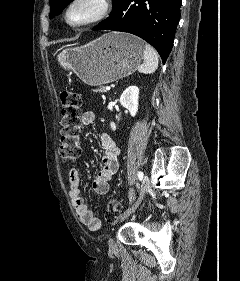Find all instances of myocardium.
I'll return each mask as SVG.
<instances>
[{
    "mask_svg": "<svg viewBox=\"0 0 240 281\" xmlns=\"http://www.w3.org/2000/svg\"><path fill=\"white\" fill-rule=\"evenodd\" d=\"M83 2H93L95 4V9L93 12L84 20L73 22L70 20V14L72 10L80 3ZM110 0H70L66 7L64 8L62 19L63 22L71 28H80L92 25L94 23L100 22L107 17L110 12Z\"/></svg>",
    "mask_w": 240,
    "mask_h": 281,
    "instance_id": "f54148a6",
    "label": "myocardium"
}]
</instances>
